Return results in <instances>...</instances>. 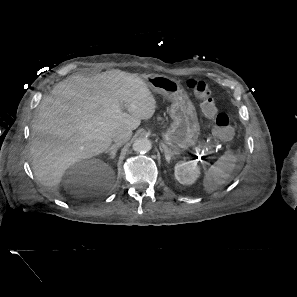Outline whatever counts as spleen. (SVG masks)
Returning a JSON list of instances; mask_svg holds the SVG:
<instances>
[{
	"mask_svg": "<svg viewBox=\"0 0 297 297\" xmlns=\"http://www.w3.org/2000/svg\"><path fill=\"white\" fill-rule=\"evenodd\" d=\"M236 160L237 158L233 154L225 153L205 171L203 186L206 193H213L229 180L235 168Z\"/></svg>",
	"mask_w": 297,
	"mask_h": 297,
	"instance_id": "3e777b00",
	"label": "spleen"
}]
</instances>
